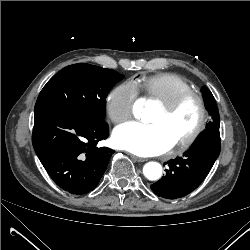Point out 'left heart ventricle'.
<instances>
[{"label":"left heart ventricle","instance_id":"1","mask_svg":"<svg viewBox=\"0 0 250 250\" xmlns=\"http://www.w3.org/2000/svg\"><path fill=\"white\" fill-rule=\"evenodd\" d=\"M199 120V108L194 99L184 102L174 113L166 115L160 106L149 122L160 125L175 143L187 136Z\"/></svg>","mask_w":250,"mask_h":250}]
</instances>
